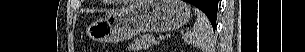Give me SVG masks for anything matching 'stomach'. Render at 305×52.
<instances>
[{
  "label": "stomach",
  "mask_w": 305,
  "mask_h": 52,
  "mask_svg": "<svg viewBox=\"0 0 305 52\" xmlns=\"http://www.w3.org/2000/svg\"><path fill=\"white\" fill-rule=\"evenodd\" d=\"M190 16V7L182 0H147L91 23L86 35L96 42H120L142 32L178 29L187 24Z\"/></svg>",
  "instance_id": "stomach-1"
}]
</instances>
